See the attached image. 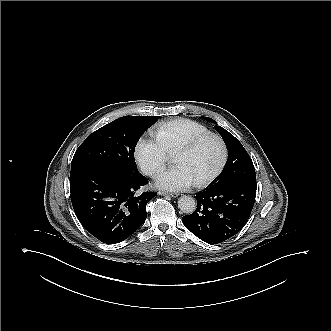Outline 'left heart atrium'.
Segmentation results:
<instances>
[{
	"label": "left heart atrium",
	"mask_w": 331,
	"mask_h": 331,
	"mask_svg": "<svg viewBox=\"0 0 331 331\" xmlns=\"http://www.w3.org/2000/svg\"><path fill=\"white\" fill-rule=\"evenodd\" d=\"M194 183V178L183 167L169 168L157 177L158 186L168 191L188 190Z\"/></svg>",
	"instance_id": "obj_1"
}]
</instances>
